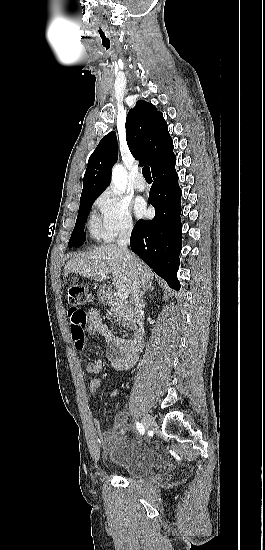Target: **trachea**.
Instances as JSON below:
<instances>
[{
    "mask_svg": "<svg viewBox=\"0 0 265 550\" xmlns=\"http://www.w3.org/2000/svg\"><path fill=\"white\" fill-rule=\"evenodd\" d=\"M142 174L146 180H152L150 168L148 166L142 168Z\"/></svg>",
    "mask_w": 265,
    "mask_h": 550,
    "instance_id": "3493384b",
    "label": "trachea"
}]
</instances>
